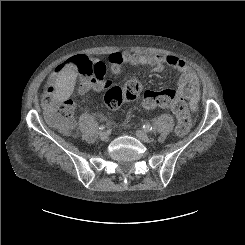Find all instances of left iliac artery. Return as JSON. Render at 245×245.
I'll list each match as a JSON object with an SVG mask.
<instances>
[{"label":"left iliac artery","mask_w":245,"mask_h":245,"mask_svg":"<svg viewBox=\"0 0 245 245\" xmlns=\"http://www.w3.org/2000/svg\"><path fill=\"white\" fill-rule=\"evenodd\" d=\"M143 130L146 131V132H149L152 130V126L149 125V124H143L142 126Z\"/></svg>","instance_id":"obj_1"}]
</instances>
